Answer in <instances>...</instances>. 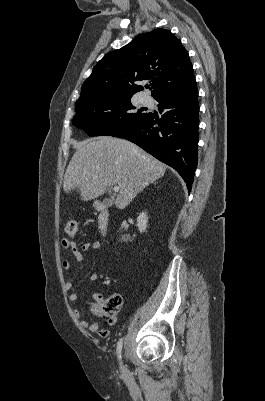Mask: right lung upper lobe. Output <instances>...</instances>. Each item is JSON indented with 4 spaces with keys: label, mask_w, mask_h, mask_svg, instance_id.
Wrapping results in <instances>:
<instances>
[{
    "label": "right lung upper lobe",
    "mask_w": 265,
    "mask_h": 401,
    "mask_svg": "<svg viewBox=\"0 0 265 401\" xmlns=\"http://www.w3.org/2000/svg\"><path fill=\"white\" fill-rule=\"evenodd\" d=\"M125 76L133 84H128ZM151 80L154 98L182 91L195 82L188 52L169 30L138 35L121 49L107 53L83 83L76 105L102 96L132 97L143 90L133 82Z\"/></svg>",
    "instance_id": "right-lung-upper-lobe-1"
}]
</instances>
